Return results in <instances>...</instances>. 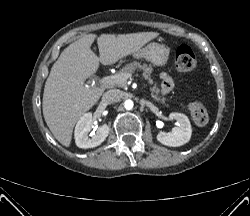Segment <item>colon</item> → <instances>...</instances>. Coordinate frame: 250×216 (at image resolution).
Returning <instances> with one entry per match:
<instances>
[{
  "mask_svg": "<svg viewBox=\"0 0 250 216\" xmlns=\"http://www.w3.org/2000/svg\"><path fill=\"white\" fill-rule=\"evenodd\" d=\"M176 65L179 70L190 72L195 70L197 59L192 49L186 45H181L176 51ZM189 111L193 121L200 126L207 124L209 115L206 107L198 101L189 104Z\"/></svg>",
  "mask_w": 250,
  "mask_h": 216,
  "instance_id": "1",
  "label": "colon"
}]
</instances>
